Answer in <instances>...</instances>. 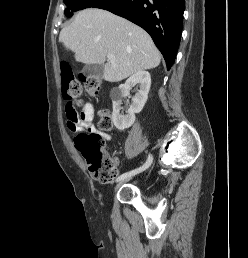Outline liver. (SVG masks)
<instances>
[{
    "instance_id": "6515ba94",
    "label": "liver",
    "mask_w": 248,
    "mask_h": 258,
    "mask_svg": "<svg viewBox=\"0 0 248 258\" xmlns=\"http://www.w3.org/2000/svg\"><path fill=\"white\" fill-rule=\"evenodd\" d=\"M59 41L85 64H104L108 54L115 62L104 64L103 78L119 82L160 64L161 55L142 28L108 11L88 8L63 28Z\"/></svg>"
}]
</instances>
